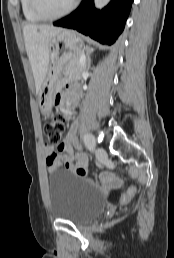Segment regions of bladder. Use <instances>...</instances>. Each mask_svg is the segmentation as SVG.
<instances>
[{"label": "bladder", "mask_w": 174, "mask_h": 258, "mask_svg": "<svg viewBox=\"0 0 174 258\" xmlns=\"http://www.w3.org/2000/svg\"><path fill=\"white\" fill-rule=\"evenodd\" d=\"M48 209L53 218L85 224L106 208L102 191L75 174L56 170L49 175Z\"/></svg>", "instance_id": "31cf9c89"}]
</instances>
